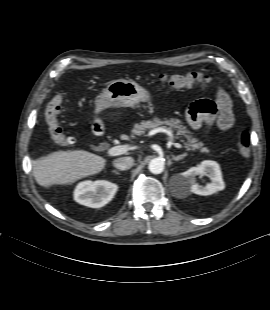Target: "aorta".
<instances>
[{
	"instance_id": "762f6f07",
	"label": "aorta",
	"mask_w": 270,
	"mask_h": 310,
	"mask_svg": "<svg viewBox=\"0 0 270 310\" xmlns=\"http://www.w3.org/2000/svg\"><path fill=\"white\" fill-rule=\"evenodd\" d=\"M164 165L165 164L163 160L160 158H155L149 162L148 169L153 174H160L164 170Z\"/></svg>"
}]
</instances>
